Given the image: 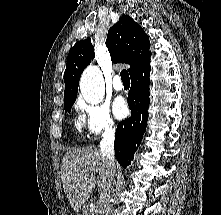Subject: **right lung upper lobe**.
I'll return each mask as SVG.
<instances>
[{"mask_svg":"<svg viewBox=\"0 0 221 215\" xmlns=\"http://www.w3.org/2000/svg\"><path fill=\"white\" fill-rule=\"evenodd\" d=\"M106 46L114 63H127L130 76L150 62L149 37L129 16H122L107 35ZM90 38L78 41L70 50L64 72L65 102L76 100L83 70L94 58Z\"/></svg>","mask_w":221,"mask_h":215,"instance_id":"right-lung-upper-lobe-1","label":"right lung upper lobe"}]
</instances>
